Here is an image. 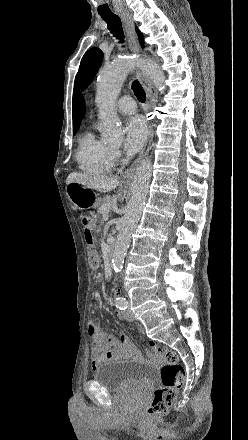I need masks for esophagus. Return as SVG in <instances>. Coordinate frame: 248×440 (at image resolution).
<instances>
[{
	"label": "esophagus",
	"instance_id": "esophagus-1",
	"mask_svg": "<svg viewBox=\"0 0 248 440\" xmlns=\"http://www.w3.org/2000/svg\"><path fill=\"white\" fill-rule=\"evenodd\" d=\"M120 15L123 19V22H124V25L126 28L129 49L132 52V54H136L137 56H139L140 50H139L138 43H137V36H136V31H135L134 20H133L132 16L129 14V12L126 10H122L120 12ZM136 73H137V76H138L143 88L145 89V91L147 92V94L150 98V102L148 105V108H150L152 106L153 102L155 101V96L153 93V85H152L151 81L143 74V72L140 69L137 68ZM152 139H153V126H152V123H149L148 136H147L146 143H145L141 153L136 158V160L123 173V175H122L123 180H129L132 178V176L135 173L136 168L138 167V165L140 164L142 159L148 154V152L150 150Z\"/></svg>",
	"mask_w": 248,
	"mask_h": 440
}]
</instances>
